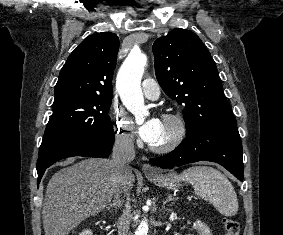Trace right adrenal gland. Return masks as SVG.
I'll list each match as a JSON object with an SVG mask.
<instances>
[{
	"label": "right adrenal gland",
	"mask_w": 283,
	"mask_h": 235,
	"mask_svg": "<svg viewBox=\"0 0 283 235\" xmlns=\"http://www.w3.org/2000/svg\"><path fill=\"white\" fill-rule=\"evenodd\" d=\"M122 206V202L119 196V193L115 196L114 200L112 203L109 204L108 210L111 208H120Z\"/></svg>",
	"instance_id": "2a0ac1e0"
}]
</instances>
